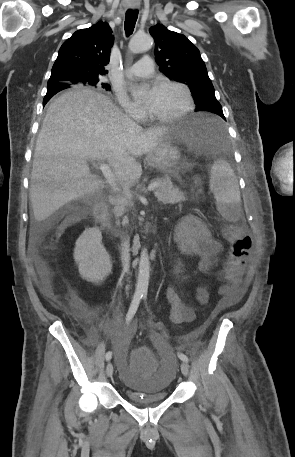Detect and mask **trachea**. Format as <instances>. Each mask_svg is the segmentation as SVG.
Returning a JSON list of instances; mask_svg holds the SVG:
<instances>
[{
    "instance_id": "trachea-1",
    "label": "trachea",
    "mask_w": 295,
    "mask_h": 457,
    "mask_svg": "<svg viewBox=\"0 0 295 457\" xmlns=\"http://www.w3.org/2000/svg\"><path fill=\"white\" fill-rule=\"evenodd\" d=\"M138 18V11L137 10H128L126 12L125 22H124V29L127 36H130L135 28V24Z\"/></svg>"
}]
</instances>
